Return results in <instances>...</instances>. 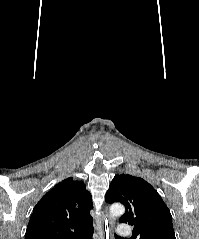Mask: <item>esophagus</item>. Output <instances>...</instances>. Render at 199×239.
<instances>
[{
  "mask_svg": "<svg viewBox=\"0 0 199 239\" xmlns=\"http://www.w3.org/2000/svg\"><path fill=\"white\" fill-rule=\"evenodd\" d=\"M113 221L109 218L108 212H107V217L102 223V230H103V235L104 239H109L111 236V227H112Z\"/></svg>",
  "mask_w": 199,
  "mask_h": 239,
  "instance_id": "34e87169",
  "label": "esophagus"
}]
</instances>
